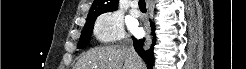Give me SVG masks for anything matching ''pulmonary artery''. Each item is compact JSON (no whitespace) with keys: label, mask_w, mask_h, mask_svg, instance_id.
Returning a JSON list of instances; mask_svg holds the SVG:
<instances>
[{"label":"pulmonary artery","mask_w":246,"mask_h":69,"mask_svg":"<svg viewBox=\"0 0 246 69\" xmlns=\"http://www.w3.org/2000/svg\"><path fill=\"white\" fill-rule=\"evenodd\" d=\"M130 14L134 17H138L140 15L139 10L137 9V4H132V9L130 11Z\"/></svg>","instance_id":"obj_1"}]
</instances>
